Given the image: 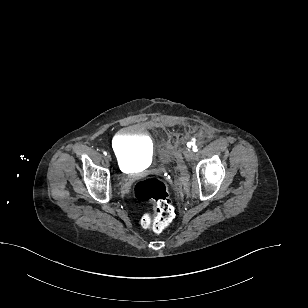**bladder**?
<instances>
[{
    "label": "bladder",
    "mask_w": 308,
    "mask_h": 308,
    "mask_svg": "<svg viewBox=\"0 0 308 308\" xmlns=\"http://www.w3.org/2000/svg\"><path fill=\"white\" fill-rule=\"evenodd\" d=\"M112 150L123 170L144 165L153 159L151 138L138 125L123 128L112 141Z\"/></svg>",
    "instance_id": "bladder-1"
}]
</instances>
